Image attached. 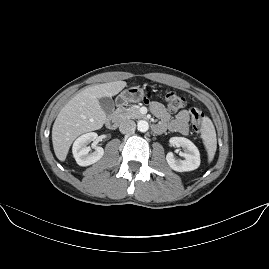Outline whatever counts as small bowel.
I'll return each instance as SVG.
<instances>
[{"label":"small bowel","mask_w":269,"mask_h":269,"mask_svg":"<svg viewBox=\"0 0 269 269\" xmlns=\"http://www.w3.org/2000/svg\"><path fill=\"white\" fill-rule=\"evenodd\" d=\"M151 110L155 116L161 119V122L154 127L156 133H162L166 129L181 135H187L189 133V112L187 110L179 111L172 120H169V115L161 103L153 102L151 104Z\"/></svg>","instance_id":"obj_1"}]
</instances>
